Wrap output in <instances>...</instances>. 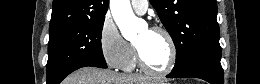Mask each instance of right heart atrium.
Masks as SVG:
<instances>
[{
  "mask_svg": "<svg viewBox=\"0 0 260 84\" xmlns=\"http://www.w3.org/2000/svg\"><path fill=\"white\" fill-rule=\"evenodd\" d=\"M98 43L100 53L106 63L112 68H122L131 53L130 44L120 34L114 20L105 16L102 21Z\"/></svg>",
  "mask_w": 260,
  "mask_h": 84,
  "instance_id": "right-heart-atrium-1",
  "label": "right heart atrium"
}]
</instances>
